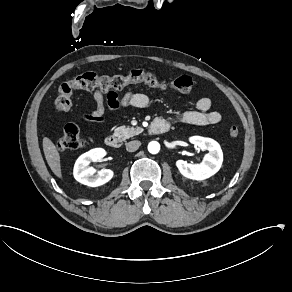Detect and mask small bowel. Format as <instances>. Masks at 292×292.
Returning <instances> with one entry per match:
<instances>
[{
  "label": "small bowel",
  "instance_id": "obj_1",
  "mask_svg": "<svg viewBox=\"0 0 292 292\" xmlns=\"http://www.w3.org/2000/svg\"><path fill=\"white\" fill-rule=\"evenodd\" d=\"M94 108L83 110L82 118L89 123L104 124L106 121V111H118L128 107L144 108L149 104L148 95L141 92L129 91L120 96L116 91H103L94 89L92 91ZM212 102L209 98L203 97L197 101L196 110L186 111L181 120L194 125H214L218 124L222 115L216 110H212Z\"/></svg>",
  "mask_w": 292,
  "mask_h": 292
}]
</instances>
